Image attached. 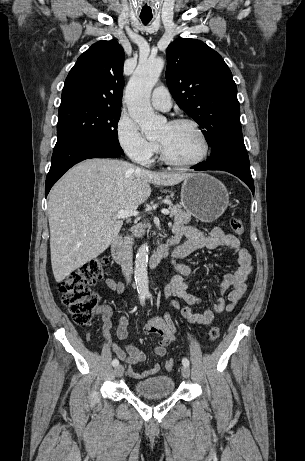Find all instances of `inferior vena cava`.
Segmentation results:
<instances>
[{
	"mask_svg": "<svg viewBox=\"0 0 305 461\" xmlns=\"http://www.w3.org/2000/svg\"><path fill=\"white\" fill-rule=\"evenodd\" d=\"M133 238L131 236L124 237L121 248V268L127 283L131 282L133 272Z\"/></svg>",
	"mask_w": 305,
	"mask_h": 461,
	"instance_id": "obj_1",
	"label": "inferior vena cava"
}]
</instances>
